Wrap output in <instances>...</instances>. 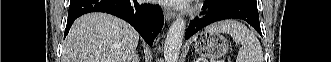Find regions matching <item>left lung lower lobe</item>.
Instances as JSON below:
<instances>
[{"instance_id":"0a47b994","label":"left lung lower lobe","mask_w":331,"mask_h":62,"mask_svg":"<svg viewBox=\"0 0 331 62\" xmlns=\"http://www.w3.org/2000/svg\"><path fill=\"white\" fill-rule=\"evenodd\" d=\"M204 8L206 13L189 24L185 39L213 22L231 18L248 22L261 34L256 0H207Z\"/></svg>"}]
</instances>
